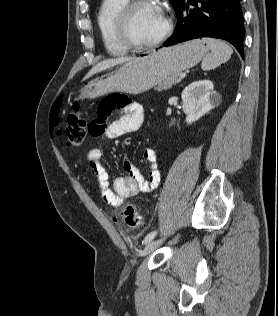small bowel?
Wrapping results in <instances>:
<instances>
[{
	"instance_id": "1",
	"label": "small bowel",
	"mask_w": 278,
	"mask_h": 316,
	"mask_svg": "<svg viewBox=\"0 0 278 316\" xmlns=\"http://www.w3.org/2000/svg\"><path fill=\"white\" fill-rule=\"evenodd\" d=\"M112 110L122 112V116L105 126L102 119ZM98 115L99 120L92 122L93 129L98 130V133L92 135L116 138L139 130L143 123L144 108L140 103L128 100L126 97L110 95L100 103ZM143 158L149 164L147 176H144L129 158H125L124 170L126 175L115 178L113 187L110 188L109 174L102 164L101 150L96 147L87 150L86 163L95 174L101 196L107 204L119 207L128 198L140 192H150L159 185L160 172L157 168L156 152L152 148H146L143 152Z\"/></svg>"
}]
</instances>
